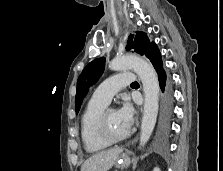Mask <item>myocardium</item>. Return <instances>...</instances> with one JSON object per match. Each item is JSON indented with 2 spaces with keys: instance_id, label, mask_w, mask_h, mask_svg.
I'll return each mask as SVG.
<instances>
[{
  "instance_id": "f54148a6",
  "label": "myocardium",
  "mask_w": 223,
  "mask_h": 171,
  "mask_svg": "<svg viewBox=\"0 0 223 171\" xmlns=\"http://www.w3.org/2000/svg\"><path fill=\"white\" fill-rule=\"evenodd\" d=\"M109 111H115L114 109H104L96 122V134L97 137L105 144L107 145H112V144H116L119 143L121 141H124L125 139H127L130 135V132L128 131L125 135L119 137V138H113L110 136V134L108 133L107 130V125H106V119H107V114Z\"/></svg>"
}]
</instances>
